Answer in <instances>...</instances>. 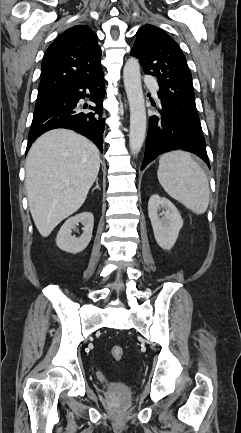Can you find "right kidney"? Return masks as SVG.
Segmentation results:
<instances>
[{"instance_id": "obj_1", "label": "right kidney", "mask_w": 241, "mask_h": 433, "mask_svg": "<svg viewBox=\"0 0 241 433\" xmlns=\"http://www.w3.org/2000/svg\"><path fill=\"white\" fill-rule=\"evenodd\" d=\"M78 223L83 225V234L76 238L72 236V230L76 228ZM93 226L94 217L90 212H82L69 218L57 234V246L59 249L73 254L82 252L91 241Z\"/></svg>"}]
</instances>
